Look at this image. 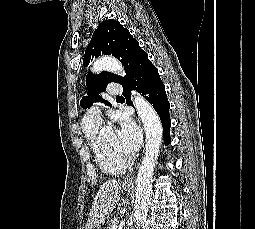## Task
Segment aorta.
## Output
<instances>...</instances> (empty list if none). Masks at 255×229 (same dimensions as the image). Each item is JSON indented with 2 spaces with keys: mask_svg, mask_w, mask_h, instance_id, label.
<instances>
[{
  "mask_svg": "<svg viewBox=\"0 0 255 229\" xmlns=\"http://www.w3.org/2000/svg\"><path fill=\"white\" fill-rule=\"evenodd\" d=\"M101 70L124 75L121 63L112 57H102L94 62L92 71L98 73ZM132 101L146 134L145 153L136 178L134 220L136 229H139L147 219L152 192L153 171L159 155L163 128L159 116L146 99L140 94L133 92Z\"/></svg>",
  "mask_w": 255,
  "mask_h": 229,
  "instance_id": "762f6f07",
  "label": "aorta"
}]
</instances>
